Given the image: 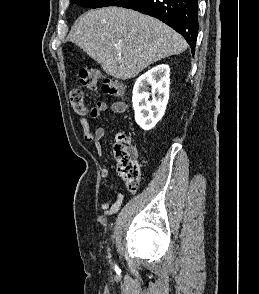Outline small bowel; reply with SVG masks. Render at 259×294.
I'll use <instances>...</instances> for the list:
<instances>
[{
	"mask_svg": "<svg viewBox=\"0 0 259 294\" xmlns=\"http://www.w3.org/2000/svg\"><path fill=\"white\" fill-rule=\"evenodd\" d=\"M125 104L122 102H116L112 105H108L105 101H98L96 105L90 109V117L97 118L101 113L106 112L107 110H111L114 113H121L125 111ZM80 125L83 129L84 139L88 142H92L95 146V150L98 155H102L103 149L101 140L104 137V129L101 127L92 130L89 126L87 118L80 119ZM100 174L102 178H107L110 174L109 168L107 166H103L100 170ZM124 198L122 193H119L116 201H113L112 198H105L101 203V208L105 211L107 215H112L116 213L120 207V204Z\"/></svg>",
	"mask_w": 259,
	"mask_h": 294,
	"instance_id": "c3829d8e",
	"label": "small bowel"
}]
</instances>
